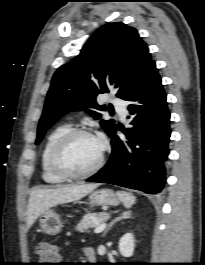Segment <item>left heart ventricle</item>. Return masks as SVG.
<instances>
[{
	"mask_svg": "<svg viewBox=\"0 0 205 265\" xmlns=\"http://www.w3.org/2000/svg\"><path fill=\"white\" fill-rule=\"evenodd\" d=\"M101 148L95 138L78 136L66 146L60 157L61 165L72 173H83L99 159Z\"/></svg>",
	"mask_w": 205,
	"mask_h": 265,
	"instance_id": "obj_1",
	"label": "left heart ventricle"
}]
</instances>
